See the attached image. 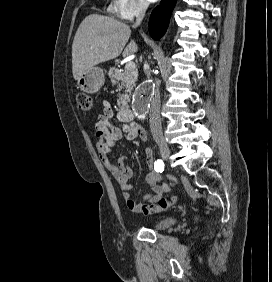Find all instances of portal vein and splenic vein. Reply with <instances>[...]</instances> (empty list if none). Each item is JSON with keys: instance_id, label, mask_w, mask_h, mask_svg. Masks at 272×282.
<instances>
[{"instance_id": "portal-vein-and-splenic-vein-1", "label": "portal vein and splenic vein", "mask_w": 272, "mask_h": 282, "mask_svg": "<svg viewBox=\"0 0 272 282\" xmlns=\"http://www.w3.org/2000/svg\"><path fill=\"white\" fill-rule=\"evenodd\" d=\"M135 68H136V65L134 62H128L125 66V69L127 70H135Z\"/></svg>"}]
</instances>
